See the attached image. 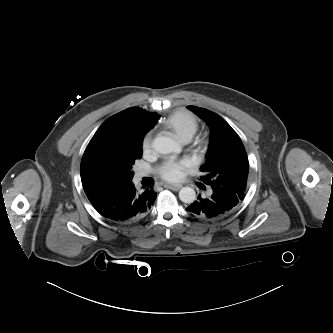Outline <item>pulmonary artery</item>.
Segmentation results:
<instances>
[{
	"label": "pulmonary artery",
	"mask_w": 333,
	"mask_h": 333,
	"mask_svg": "<svg viewBox=\"0 0 333 333\" xmlns=\"http://www.w3.org/2000/svg\"><path fill=\"white\" fill-rule=\"evenodd\" d=\"M189 140H183L182 142H188ZM145 175V173L144 172H139V173H137V177H136V179L138 180V179H140V178H142L143 176Z\"/></svg>",
	"instance_id": "pulmonary-artery-1"
}]
</instances>
